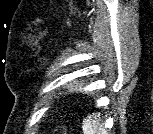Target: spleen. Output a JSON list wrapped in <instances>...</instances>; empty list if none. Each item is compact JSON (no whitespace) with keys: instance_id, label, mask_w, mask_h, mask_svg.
Listing matches in <instances>:
<instances>
[{"instance_id":"obj_1","label":"spleen","mask_w":153,"mask_h":134,"mask_svg":"<svg viewBox=\"0 0 153 134\" xmlns=\"http://www.w3.org/2000/svg\"><path fill=\"white\" fill-rule=\"evenodd\" d=\"M82 129L84 134H107L104 123L101 122L100 113L87 117Z\"/></svg>"}]
</instances>
